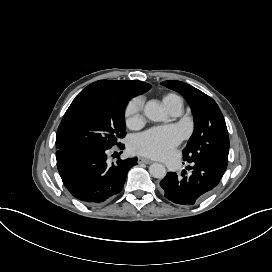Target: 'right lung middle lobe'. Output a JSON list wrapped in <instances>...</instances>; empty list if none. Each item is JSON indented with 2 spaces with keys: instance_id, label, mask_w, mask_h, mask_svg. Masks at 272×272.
Returning a JSON list of instances; mask_svg holds the SVG:
<instances>
[{
  "instance_id": "1",
  "label": "right lung middle lobe",
  "mask_w": 272,
  "mask_h": 272,
  "mask_svg": "<svg viewBox=\"0 0 272 272\" xmlns=\"http://www.w3.org/2000/svg\"><path fill=\"white\" fill-rule=\"evenodd\" d=\"M129 99L113 94L79 93L57 130L58 150L76 147L110 149L124 138V111Z\"/></svg>"
}]
</instances>
